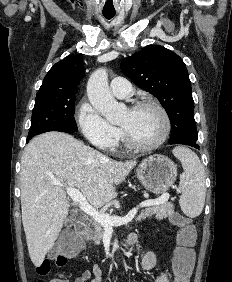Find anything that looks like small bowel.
<instances>
[{
  "mask_svg": "<svg viewBox=\"0 0 232 282\" xmlns=\"http://www.w3.org/2000/svg\"><path fill=\"white\" fill-rule=\"evenodd\" d=\"M139 240L137 234H130L128 237V242L130 244H135ZM157 262L156 254L148 250L143 254L141 260V268L144 271L152 270ZM50 282H70L69 280L59 276L52 279ZM74 282H103V269L99 264L93 265L91 269L85 270L80 276H78ZM154 282H170L166 273H161Z\"/></svg>",
  "mask_w": 232,
  "mask_h": 282,
  "instance_id": "1",
  "label": "small bowel"
}]
</instances>
